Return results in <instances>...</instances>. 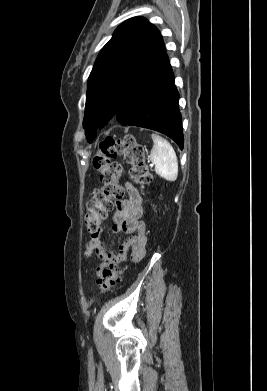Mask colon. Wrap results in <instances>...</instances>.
<instances>
[{
  "label": "colon",
  "mask_w": 267,
  "mask_h": 391,
  "mask_svg": "<svg viewBox=\"0 0 267 391\" xmlns=\"http://www.w3.org/2000/svg\"><path fill=\"white\" fill-rule=\"evenodd\" d=\"M119 155H123L130 165V178L133 182L139 185H147L151 182L144 147L134 136L126 135L122 139L107 137L101 141L98 151L92 158V166L100 174L102 189L87 204L84 217L86 229L92 238L101 233L107 214L113 207V200L120 199L124 195L123 187L119 184L122 165L114 161ZM121 280V270L106 268L102 271L97 285L101 292H108Z\"/></svg>",
  "instance_id": "obj_1"
}]
</instances>
